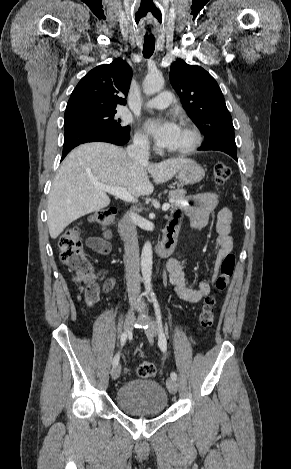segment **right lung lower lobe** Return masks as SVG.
Listing matches in <instances>:
<instances>
[{"mask_svg": "<svg viewBox=\"0 0 291 469\" xmlns=\"http://www.w3.org/2000/svg\"><path fill=\"white\" fill-rule=\"evenodd\" d=\"M130 129H101L93 127H75L65 130L63 158L76 146L86 142H108L116 145H124L129 141Z\"/></svg>", "mask_w": 291, "mask_h": 469, "instance_id": "obj_1", "label": "right lung lower lobe"}]
</instances>
